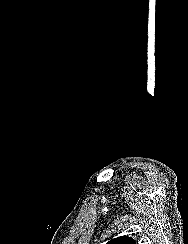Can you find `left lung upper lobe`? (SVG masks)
<instances>
[{
  "instance_id": "1",
  "label": "left lung upper lobe",
  "mask_w": 188,
  "mask_h": 244,
  "mask_svg": "<svg viewBox=\"0 0 188 244\" xmlns=\"http://www.w3.org/2000/svg\"><path fill=\"white\" fill-rule=\"evenodd\" d=\"M107 244H136L135 240L128 236H120L114 239H111Z\"/></svg>"
}]
</instances>
